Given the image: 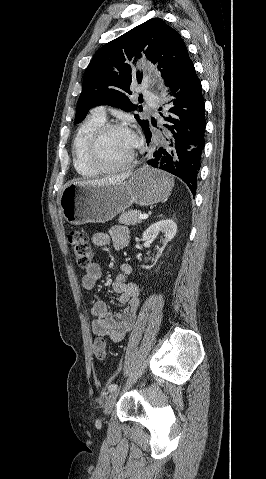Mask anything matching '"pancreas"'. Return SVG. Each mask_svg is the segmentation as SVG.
Here are the masks:
<instances>
[{
	"label": "pancreas",
	"instance_id": "1",
	"mask_svg": "<svg viewBox=\"0 0 266 479\" xmlns=\"http://www.w3.org/2000/svg\"><path fill=\"white\" fill-rule=\"evenodd\" d=\"M141 214L139 210H130L124 212L119 216V223L125 225H136L142 222V219H139L138 216Z\"/></svg>",
	"mask_w": 266,
	"mask_h": 479
}]
</instances>
